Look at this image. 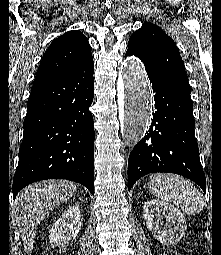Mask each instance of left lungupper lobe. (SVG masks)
Segmentation results:
<instances>
[{"label": "left lung upper lobe", "mask_w": 221, "mask_h": 255, "mask_svg": "<svg viewBox=\"0 0 221 255\" xmlns=\"http://www.w3.org/2000/svg\"><path fill=\"white\" fill-rule=\"evenodd\" d=\"M127 53L140 58L146 70L191 91L178 48L159 26L145 22L129 39Z\"/></svg>", "instance_id": "obj_1"}]
</instances>
